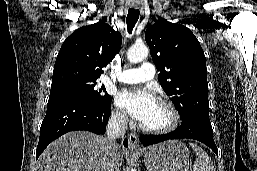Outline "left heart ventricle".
<instances>
[{"mask_svg": "<svg viewBox=\"0 0 257 171\" xmlns=\"http://www.w3.org/2000/svg\"><path fill=\"white\" fill-rule=\"evenodd\" d=\"M170 120L171 115L169 111L165 107L157 103L151 113L142 122V124L149 127H162L167 125Z\"/></svg>", "mask_w": 257, "mask_h": 171, "instance_id": "b2bd125f", "label": "left heart ventricle"}]
</instances>
